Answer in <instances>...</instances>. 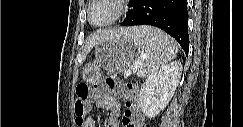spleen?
<instances>
[{"instance_id": "3e777b00", "label": "spleen", "mask_w": 243, "mask_h": 127, "mask_svg": "<svg viewBox=\"0 0 243 127\" xmlns=\"http://www.w3.org/2000/svg\"><path fill=\"white\" fill-rule=\"evenodd\" d=\"M140 48L133 67L139 77H149L168 65L178 52L177 43L163 31L148 26L136 28L131 35Z\"/></svg>"}]
</instances>
